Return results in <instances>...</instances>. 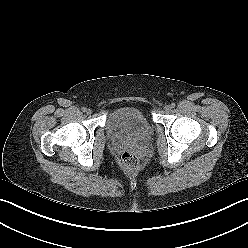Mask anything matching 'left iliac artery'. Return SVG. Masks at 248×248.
Masks as SVG:
<instances>
[{"label": "left iliac artery", "mask_w": 248, "mask_h": 248, "mask_svg": "<svg viewBox=\"0 0 248 248\" xmlns=\"http://www.w3.org/2000/svg\"><path fill=\"white\" fill-rule=\"evenodd\" d=\"M176 106L175 103H171V108H174Z\"/></svg>", "instance_id": "obj_1"}]
</instances>
